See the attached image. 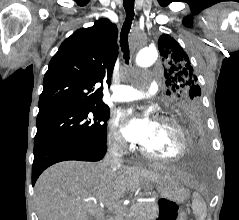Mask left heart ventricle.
<instances>
[{
	"instance_id": "b2bd125f",
	"label": "left heart ventricle",
	"mask_w": 239,
	"mask_h": 220,
	"mask_svg": "<svg viewBox=\"0 0 239 220\" xmlns=\"http://www.w3.org/2000/svg\"><path fill=\"white\" fill-rule=\"evenodd\" d=\"M180 139L177 131L171 125L152 121L148 139L142 144L149 151L172 156L179 150Z\"/></svg>"
}]
</instances>
